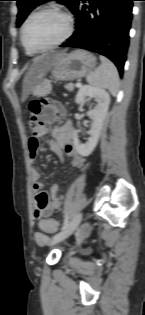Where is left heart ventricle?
Wrapping results in <instances>:
<instances>
[{
  "instance_id": "1",
  "label": "left heart ventricle",
  "mask_w": 145,
  "mask_h": 315,
  "mask_svg": "<svg viewBox=\"0 0 145 315\" xmlns=\"http://www.w3.org/2000/svg\"><path fill=\"white\" fill-rule=\"evenodd\" d=\"M64 32L65 22L60 16L43 13L29 21L25 38L30 46L42 47L59 39Z\"/></svg>"
}]
</instances>
